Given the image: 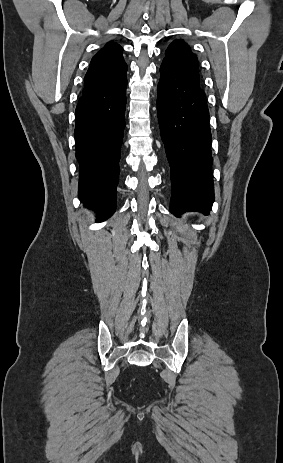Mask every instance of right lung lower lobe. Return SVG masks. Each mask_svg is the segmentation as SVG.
<instances>
[{
  "label": "right lung lower lobe",
  "instance_id": "98d812e1",
  "mask_svg": "<svg viewBox=\"0 0 283 463\" xmlns=\"http://www.w3.org/2000/svg\"><path fill=\"white\" fill-rule=\"evenodd\" d=\"M127 77L83 92L76 107L79 198L104 221L115 211L120 147L125 127Z\"/></svg>",
  "mask_w": 283,
  "mask_h": 463
}]
</instances>
